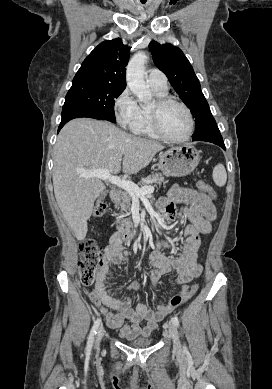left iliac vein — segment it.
<instances>
[{
    "label": "left iliac vein",
    "mask_w": 272,
    "mask_h": 389,
    "mask_svg": "<svg viewBox=\"0 0 272 389\" xmlns=\"http://www.w3.org/2000/svg\"><path fill=\"white\" fill-rule=\"evenodd\" d=\"M168 336L171 337L172 340H173L174 351L176 353L181 352L182 346H181V343H180V340H179L177 327L173 323H170L168 325Z\"/></svg>",
    "instance_id": "obj_1"
}]
</instances>
